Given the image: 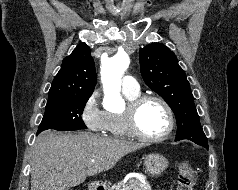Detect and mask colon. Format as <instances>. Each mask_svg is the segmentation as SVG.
Returning <instances> with one entry per match:
<instances>
[{
	"label": "colon",
	"instance_id": "obj_1",
	"mask_svg": "<svg viewBox=\"0 0 238 190\" xmlns=\"http://www.w3.org/2000/svg\"><path fill=\"white\" fill-rule=\"evenodd\" d=\"M196 183V171L187 162L177 165V187L176 190H193Z\"/></svg>",
	"mask_w": 238,
	"mask_h": 190
}]
</instances>
